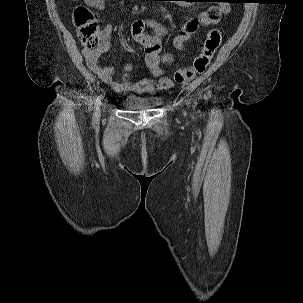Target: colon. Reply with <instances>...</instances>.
Masks as SVG:
<instances>
[{"label": "colon", "instance_id": "colon-1", "mask_svg": "<svg viewBox=\"0 0 303 303\" xmlns=\"http://www.w3.org/2000/svg\"><path fill=\"white\" fill-rule=\"evenodd\" d=\"M74 23L78 29V36L82 45L87 49L94 48L100 38L99 23L93 12L83 5L74 10ZM222 34L219 29H211L201 47L200 53L189 67L178 69L174 74L177 83H185L196 75L202 74L221 43Z\"/></svg>", "mask_w": 303, "mask_h": 303}]
</instances>
